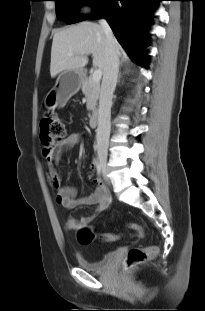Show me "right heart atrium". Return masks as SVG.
Here are the masks:
<instances>
[{"label":"right heart atrium","instance_id":"d8ad5b80","mask_svg":"<svg viewBox=\"0 0 205 311\" xmlns=\"http://www.w3.org/2000/svg\"><path fill=\"white\" fill-rule=\"evenodd\" d=\"M83 10H84L85 12H89V11L91 10V8H90L89 6H85V7L83 8Z\"/></svg>","mask_w":205,"mask_h":311}]
</instances>
